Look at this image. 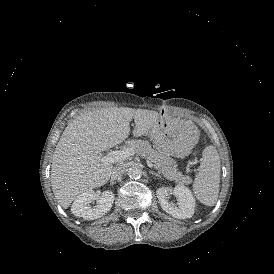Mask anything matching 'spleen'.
<instances>
[{
	"instance_id": "1",
	"label": "spleen",
	"mask_w": 274,
	"mask_h": 274,
	"mask_svg": "<svg viewBox=\"0 0 274 274\" xmlns=\"http://www.w3.org/2000/svg\"><path fill=\"white\" fill-rule=\"evenodd\" d=\"M199 137V134H198ZM220 157L214 146H207L193 183L196 198L207 206H213L218 198L220 184Z\"/></svg>"
}]
</instances>
